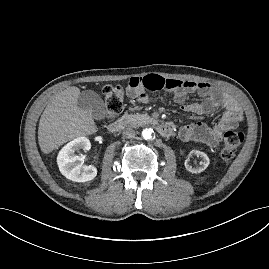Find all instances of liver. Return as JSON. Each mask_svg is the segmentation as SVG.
I'll return each mask as SVG.
<instances>
[{
	"mask_svg": "<svg viewBox=\"0 0 269 269\" xmlns=\"http://www.w3.org/2000/svg\"><path fill=\"white\" fill-rule=\"evenodd\" d=\"M79 95L78 87H68L46 106L38 128V142L43 153L48 154L76 137L97 131L91 114L77 106Z\"/></svg>",
	"mask_w": 269,
	"mask_h": 269,
	"instance_id": "6515ba94",
	"label": "liver"
}]
</instances>
